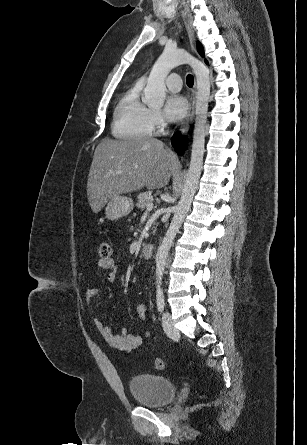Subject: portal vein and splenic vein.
I'll use <instances>...</instances> for the list:
<instances>
[{
  "mask_svg": "<svg viewBox=\"0 0 307 445\" xmlns=\"http://www.w3.org/2000/svg\"><path fill=\"white\" fill-rule=\"evenodd\" d=\"M109 172H110V174H119V172H121V170H116V172H114V170H109ZM153 206H154L153 202H148L144 214H147V212H150V210H152Z\"/></svg>",
  "mask_w": 307,
  "mask_h": 445,
  "instance_id": "18ae733b",
  "label": "portal vein and splenic vein"
}]
</instances>
